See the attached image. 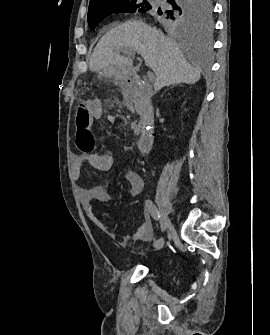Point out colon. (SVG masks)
<instances>
[{"label":"colon","mask_w":270,"mask_h":335,"mask_svg":"<svg viewBox=\"0 0 270 335\" xmlns=\"http://www.w3.org/2000/svg\"><path fill=\"white\" fill-rule=\"evenodd\" d=\"M75 123H77V134H85V141H77V148H84V153H92L96 144L94 136L91 134L90 123H93V116H90V111H78V116H75Z\"/></svg>","instance_id":"colon-1"}]
</instances>
